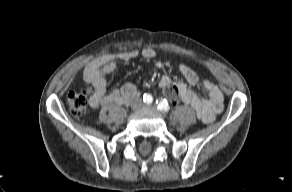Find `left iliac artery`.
<instances>
[{
	"instance_id": "1",
	"label": "left iliac artery",
	"mask_w": 292,
	"mask_h": 192,
	"mask_svg": "<svg viewBox=\"0 0 292 192\" xmlns=\"http://www.w3.org/2000/svg\"><path fill=\"white\" fill-rule=\"evenodd\" d=\"M157 109L160 110L163 113H167L170 109V106L168 105V102L164 100H156Z\"/></svg>"
}]
</instances>
